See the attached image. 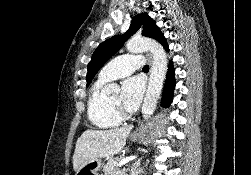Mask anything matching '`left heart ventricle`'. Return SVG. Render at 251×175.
<instances>
[{
    "instance_id": "obj_1",
    "label": "left heart ventricle",
    "mask_w": 251,
    "mask_h": 175,
    "mask_svg": "<svg viewBox=\"0 0 251 175\" xmlns=\"http://www.w3.org/2000/svg\"><path fill=\"white\" fill-rule=\"evenodd\" d=\"M109 102L112 104L114 108H119L120 105V94H114L110 99Z\"/></svg>"
}]
</instances>
